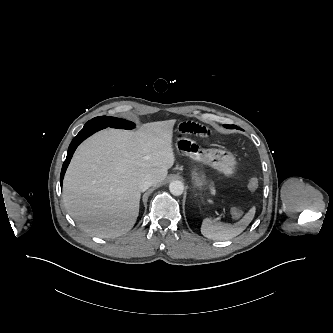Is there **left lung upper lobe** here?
I'll return each instance as SVG.
<instances>
[{"instance_id":"obj_1","label":"left lung upper lobe","mask_w":333,"mask_h":333,"mask_svg":"<svg viewBox=\"0 0 333 333\" xmlns=\"http://www.w3.org/2000/svg\"><path fill=\"white\" fill-rule=\"evenodd\" d=\"M226 127V125H224ZM229 126H235V125H229ZM236 127V126H235ZM228 128V127H227Z\"/></svg>"}]
</instances>
